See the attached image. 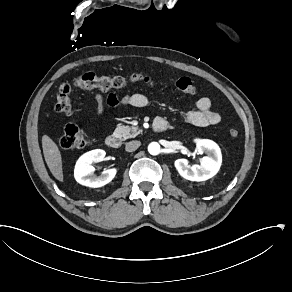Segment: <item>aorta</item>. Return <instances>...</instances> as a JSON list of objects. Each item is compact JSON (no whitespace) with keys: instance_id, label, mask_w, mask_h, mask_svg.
I'll use <instances>...</instances> for the list:
<instances>
[{"instance_id":"aorta-1","label":"aorta","mask_w":292,"mask_h":292,"mask_svg":"<svg viewBox=\"0 0 292 292\" xmlns=\"http://www.w3.org/2000/svg\"><path fill=\"white\" fill-rule=\"evenodd\" d=\"M148 151L151 155H157L160 152V145L157 142H152L148 146Z\"/></svg>"}]
</instances>
